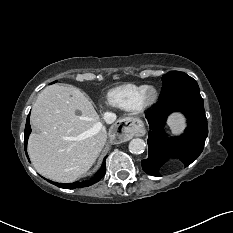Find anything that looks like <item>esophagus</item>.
<instances>
[{"label":"esophagus","instance_id":"1","mask_svg":"<svg viewBox=\"0 0 233 233\" xmlns=\"http://www.w3.org/2000/svg\"><path fill=\"white\" fill-rule=\"evenodd\" d=\"M112 134L122 140H126L130 136H141L143 134V123L138 118L126 117L118 120L112 127Z\"/></svg>","mask_w":233,"mask_h":233}]
</instances>
